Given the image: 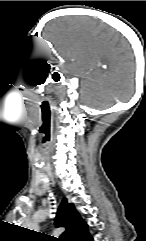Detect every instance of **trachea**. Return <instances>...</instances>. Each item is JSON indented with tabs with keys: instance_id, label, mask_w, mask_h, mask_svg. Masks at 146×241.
<instances>
[{
	"instance_id": "3493384b",
	"label": "trachea",
	"mask_w": 146,
	"mask_h": 241,
	"mask_svg": "<svg viewBox=\"0 0 146 241\" xmlns=\"http://www.w3.org/2000/svg\"><path fill=\"white\" fill-rule=\"evenodd\" d=\"M54 241H60L59 239H54Z\"/></svg>"
}]
</instances>
